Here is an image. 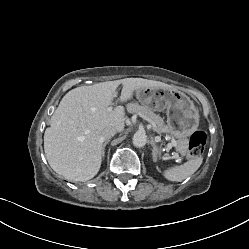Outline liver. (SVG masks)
I'll return each mask as SVG.
<instances>
[{
  "label": "liver",
  "instance_id": "obj_1",
  "mask_svg": "<svg viewBox=\"0 0 249 249\" xmlns=\"http://www.w3.org/2000/svg\"><path fill=\"white\" fill-rule=\"evenodd\" d=\"M119 85H122V102L131 99L134 91L141 88L176 90L163 82L143 78H125L70 90L60 101L44 133L45 155L56 173L80 182L98 173L102 161V129L113 126L121 132L125 127L124 108L110 107Z\"/></svg>",
  "mask_w": 249,
  "mask_h": 249
}]
</instances>
